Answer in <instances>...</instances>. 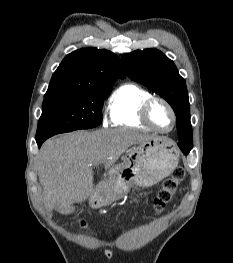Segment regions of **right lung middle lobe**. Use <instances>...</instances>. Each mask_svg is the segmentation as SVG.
<instances>
[{"label": "right lung middle lobe", "mask_w": 233, "mask_h": 263, "mask_svg": "<svg viewBox=\"0 0 233 263\" xmlns=\"http://www.w3.org/2000/svg\"><path fill=\"white\" fill-rule=\"evenodd\" d=\"M108 89L45 95L36 141L101 124L102 106Z\"/></svg>", "instance_id": "1"}]
</instances>
